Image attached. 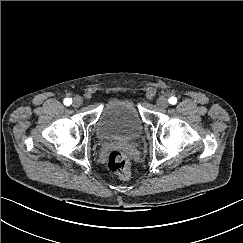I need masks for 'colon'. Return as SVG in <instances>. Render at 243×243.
I'll return each instance as SVG.
<instances>
[{"label": "colon", "mask_w": 243, "mask_h": 243, "mask_svg": "<svg viewBox=\"0 0 243 243\" xmlns=\"http://www.w3.org/2000/svg\"><path fill=\"white\" fill-rule=\"evenodd\" d=\"M107 167L123 180H128L131 177L130 162L120 150L113 149L109 152L107 156Z\"/></svg>", "instance_id": "obj_1"}]
</instances>
